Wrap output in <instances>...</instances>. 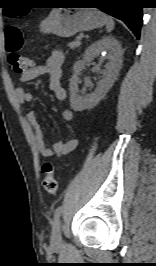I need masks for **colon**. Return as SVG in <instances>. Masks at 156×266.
I'll return each mask as SVG.
<instances>
[{"label":"colon","instance_id":"colon-1","mask_svg":"<svg viewBox=\"0 0 156 266\" xmlns=\"http://www.w3.org/2000/svg\"><path fill=\"white\" fill-rule=\"evenodd\" d=\"M24 46V35L16 26H7L5 29V49L8 52V61L12 69L17 73H23L32 65V60L19 51ZM44 172L43 187L51 195H56L58 184L54 167L51 163L45 162L42 166Z\"/></svg>","mask_w":156,"mask_h":266}]
</instances>
